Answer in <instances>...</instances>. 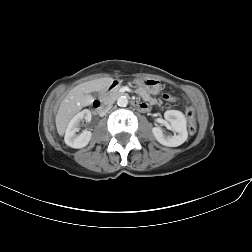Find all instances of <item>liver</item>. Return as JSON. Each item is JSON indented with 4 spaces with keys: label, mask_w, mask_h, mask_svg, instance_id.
<instances>
[{
    "label": "liver",
    "mask_w": 252,
    "mask_h": 252,
    "mask_svg": "<svg viewBox=\"0 0 252 252\" xmlns=\"http://www.w3.org/2000/svg\"><path fill=\"white\" fill-rule=\"evenodd\" d=\"M112 82V78H101L84 82L74 87L59 106L56 115L58 133L61 134L64 132L68 121L75 113L93 102L94 98L90 94L91 92L102 91L109 87Z\"/></svg>",
    "instance_id": "6515ba94"
}]
</instances>
